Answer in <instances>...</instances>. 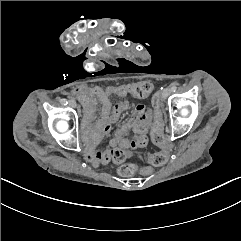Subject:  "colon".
Returning a JSON list of instances; mask_svg holds the SVG:
<instances>
[{
	"instance_id": "5ec220e1",
	"label": "colon",
	"mask_w": 241,
	"mask_h": 241,
	"mask_svg": "<svg viewBox=\"0 0 241 241\" xmlns=\"http://www.w3.org/2000/svg\"><path fill=\"white\" fill-rule=\"evenodd\" d=\"M153 87L150 82L144 81L140 82L139 84L133 83L128 86L127 92L128 95L132 98L138 99L141 98L143 95L147 96L152 93ZM153 105L155 111H160L158 97H153ZM156 117H161V112H156ZM152 140L157 145H164L165 140L163 136V126L160 122L157 123L153 130ZM129 152L125 150V153H111V159L116 162H122L127 156ZM146 159L151 164H145L142 168H137L136 166H131L130 164H124L121 167H118L116 170L119 174H132L135 175L137 172L143 173L144 176H149L153 170V166L163 165L166 162V156L159 153H147Z\"/></svg>"
}]
</instances>
